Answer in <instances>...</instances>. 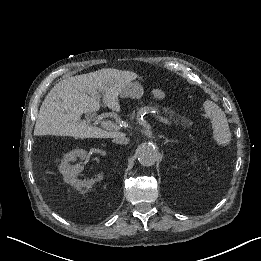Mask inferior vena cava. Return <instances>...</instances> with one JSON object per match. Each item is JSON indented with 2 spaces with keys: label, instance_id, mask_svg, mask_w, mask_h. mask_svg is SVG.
I'll return each mask as SVG.
<instances>
[{
  "label": "inferior vena cava",
  "instance_id": "inferior-vena-cava-1",
  "mask_svg": "<svg viewBox=\"0 0 261 261\" xmlns=\"http://www.w3.org/2000/svg\"><path fill=\"white\" fill-rule=\"evenodd\" d=\"M114 141L119 144H127L129 143V138L127 134L124 132H120L117 136L114 137Z\"/></svg>",
  "mask_w": 261,
  "mask_h": 261
}]
</instances>
